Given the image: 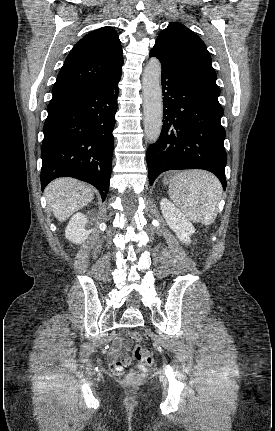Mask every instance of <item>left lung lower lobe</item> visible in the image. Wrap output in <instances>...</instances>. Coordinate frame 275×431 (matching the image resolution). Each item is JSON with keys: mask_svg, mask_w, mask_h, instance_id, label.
Listing matches in <instances>:
<instances>
[{"mask_svg": "<svg viewBox=\"0 0 275 431\" xmlns=\"http://www.w3.org/2000/svg\"><path fill=\"white\" fill-rule=\"evenodd\" d=\"M150 56H156L153 51ZM163 127L147 150L150 185L164 171L204 169L226 188L225 129L221 105L203 95L186 77L162 63Z\"/></svg>", "mask_w": 275, "mask_h": 431, "instance_id": "1", "label": "left lung lower lobe"}]
</instances>
